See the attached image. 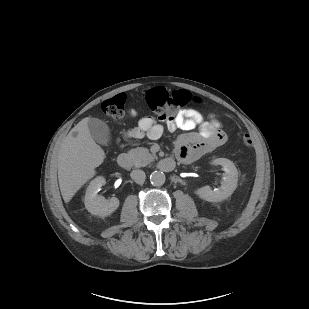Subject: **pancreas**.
Returning <instances> with one entry per match:
<instances>
[{"instance_id":"obj_1","label":"pancreas","mask_w":309,"mask_h":309,"mask_svg":"<svg viewBox=\"0 0 309 309\" xmlns=\"http://www.w3.org/2000/svg\"><path fill=\"white\" fill-rule=\"evenodd\" d=\"M128 155L135 167H144L154 161L155 157L149 152L148 149L137 147L128 151Z\"/></svg>"}]
</instances>
